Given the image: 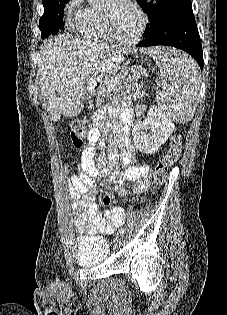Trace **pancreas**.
Returning <instances> with one entry per match:
<instances>
[{
    "label": "pancreas",
    "mask_w": 227,
    "mask_h": 315,
    "mask_svg": "<svg viewBox=\"0 0 227 315\" xmlns=\"http://www.w3.org/2000/svg\"><path fill=\"white\" fill-rule=\"evenodd\" d=\"M143 73H145V69L142 68V66L134 65L130 69H123L122 72L117 75H107L103 80V84L97 91H90V96H95L96 103L99 104L103 97H111L113 94L119 92L123 88V85L137 81ZM115 79L117 82L116 84H113ZM90 82V88H94L96 81L93 79Z\"/></svg>",
    "instance_id": "obj_1"
}]
</instances>
